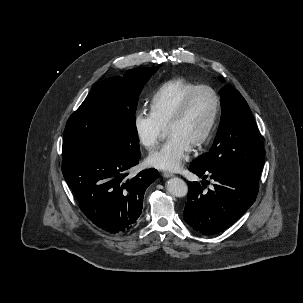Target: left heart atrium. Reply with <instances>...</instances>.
Wrapping results in <instances>:
<instances>
[{"label":"left heart atrium","mask_w":303,"mask_h":303,"mask_svg":"<svg viewBox=\"0 0 303 303\" xmlns=\"http://www.w3.org/2000/svg\"><path fill=\"white\" fill-rule=\"evenodd\" d=\"M192 145L181 135L170 134L167 141L153 152L148 162L151 166L164 171H177L188 159Z\"/></svg>","instance_id":"1"}]
</instances>
